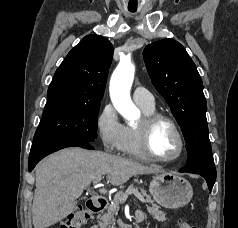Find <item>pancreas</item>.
I'll use <instances>...</instances> for the list:
<instances>
[{
    "mask_svg": "<svg viewBox=\"0 0 238 228\" xmlns=\"http://www.w3.org/2000/svg\"><path fill=\"white\" fill-rule=\"evenodd\" d=\"M132 189L138 191V188L132 187ZM140 193L142 194V197L145 198V201L147 203L152 204L151 207L147 206V210L149 214L156 220L164 222L167 220L165 217V213L161 210H159V207L153 204V200L147 193L143 190L140 189ZM119 195L125 194L123 191H120L117 193ZM124 203L123 200L119 199L118 197H114L113 201L111 204L107 207V212H105L99 219L98 223L101 228H116V216L119 211V205Z\"/></svg>",
    "mask_w": 238,
    "mask_h": 228,
    "instance_id": "1",
    "label": "pancreas"
}]
</instances>
